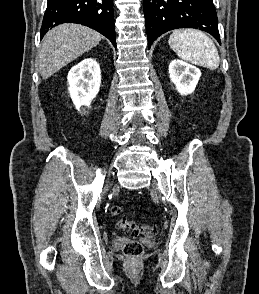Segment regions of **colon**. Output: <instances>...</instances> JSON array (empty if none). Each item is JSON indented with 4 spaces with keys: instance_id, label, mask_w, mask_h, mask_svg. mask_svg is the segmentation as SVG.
I'll return each instance as SVG.
<instances>
[{
    "instance_id": "colon-1",
    "label": "colon",
    "mask_w": 259,
    "mask_h": 294,
    "mask_svg": "<svg viewBox=\"0 0 259 294\" xmlns=\"http://www.w3.org/2000/svg\"><path fill=\"white\" fill-rule=\"evenodd\" d=\"M112 216L116 217L122 213L120 206H112L110 209ZM117 226L124 230H130L142 235H150L154 233L155 228L149 224H137L133 221L119 220ZM143 245L136 240L127 242L123 247L124 254L131 259H137L143 254Z\"/></svg>"
}]
</instances>
